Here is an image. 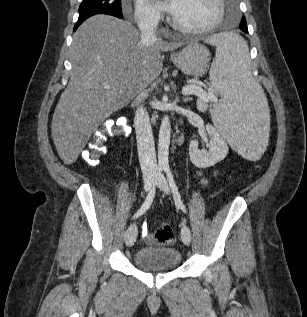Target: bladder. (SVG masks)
Masks as SVG:
<instances>
[{
	"label": "bladder",
	"mask_w": 307,
	"mask_h": 317,
	"mask_svg": "<svg viewBox=\"0 0 307 317\" xmlns=\"http://www.w3.org/2000/svg\"><path fill=\"white\" fill-rule=\"evenodd\" d=\"M181 255L171 247H145L134 255L135 266L149 273L169 272L179 266Z\"/></svg>",
	"instance_id": "31cf9c89"
}]
</instances>
